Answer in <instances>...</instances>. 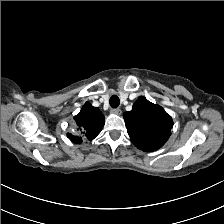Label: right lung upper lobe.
Returning a JSON list of instances; mask_svg holds the SVG:
<instances>
[{
  "instance_id": "cb5924a9",
  "label": "right lung upper lobe",
  "mask_w": 224,
  "mask_h": 224,
  "mask_svg": "<svg viewBox=\"0 0 224 224\" xmlns=\"http://www.w3.org/2000/svg\"><path fill=\"white\" fill-rule=\"evenodd\" d=\"M74 120L82 137L70 133L67 134V137L72 142L80 144L82 138L92 140L101 132L105 117L97 107H93L89 102H86L79 114L74 117Z\"/></svg>"
}]
</instances>
